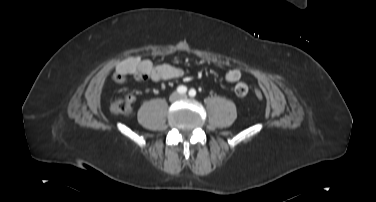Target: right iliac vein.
<instances>
[{
  "label": "right iliac vein",
  "instance_id": "right-iliac-vein-1",
  "mask_svg": "<svg viewBox=\"0 0 376 202\" xmlns=\"http://www.w3.org/2000/svg\"><path fill=\"white\" fill-rule=\"evenodd\" d=\"M177 98H178V94L177 93L172 94V96H171V100L172 101H175Z\"/></svg>",
  "mask_w": 376,
  "mask_h": 202
}]
</instances>
